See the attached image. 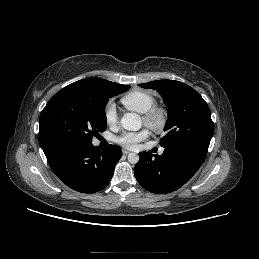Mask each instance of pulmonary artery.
<instances>
[{
    "mask_svg": "<svg viewBox=\"0 0 259 259\" xmlns=\"http://www.w3.org/2000/svg\"><path fill=\"white\" fill-rule=\"evenodd\" d=\"M159 153L162 154V153H163V150H160Z\"/></svg>",
    "mask_w": 259,
    "mask_h": 259,
    "instance_id": "1",
    "label": "pulmonary artery"
}]
</instances>
